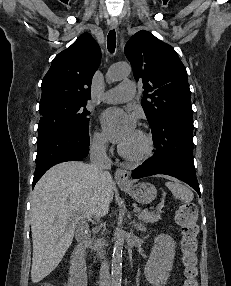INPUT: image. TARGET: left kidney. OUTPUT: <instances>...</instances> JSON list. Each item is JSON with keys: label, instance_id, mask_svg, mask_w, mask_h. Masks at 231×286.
I'll return each instance as SVG.
<instances>
[{"label": "left kidney", "instance_id": "1", "mask_svg": "<svg viewBox=\"0 0 231 286\" xmlns=\"http://www.w3.org/2000/svg\"><path fill=\"white\" fill-rule=\"evenodd\" d=\"M175 247L176 243L169 235L160 234L155 238L149 260L144 268L145 277L153 286L166 284L173 268Z\"/></svg>", "mask_w": 231, "mask_h": 286}]
</instances>
